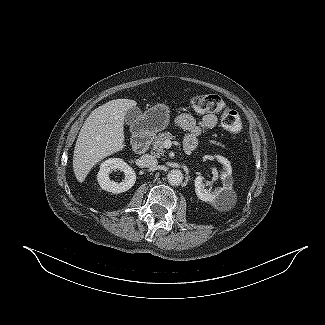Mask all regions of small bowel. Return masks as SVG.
Returning a JSON list of instances; mask_svg holds the SVG:
<instances>
[{"instance_id":"c3829d8e","label":"small bowel","mask_w":325,"mask_h":325,"mask_svg":"<svg viewBox=\"0 0 325 325\" xmlns=\"http://www.w3.org/2000/svg\"><path fill=\"white\" fill-rule=\"evenodd\" d=\"M217 124L216 115L209 113L196 120L192 115L184 113L175 120V125L187 132L184 139V147L194 149L197 146L198 137L205 130L212 129Z\"/></svg>"}]
</instances>
